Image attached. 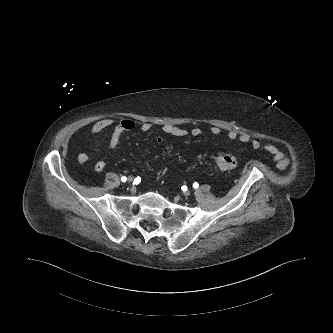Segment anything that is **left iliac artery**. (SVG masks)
Returning a JSON list of instances; mask_svg holds the SVG:
<instances>
[{
	"label": "left iliac artery",
	"instance_id": "left-iliac-artery-1",
	"mask_svg": "<svg viewBox=\"0 0 333 333\" xmlns=\"http://www.w3.org/2000/svg\"><path fill=\"white\" fill-rule=\"evenodd\" d=\"M199 187V184L197 182L193 183V188L197 189Z\"/></svg>",
	"mask_w": 333,
	"mask_h": 333
}]
</instances>
